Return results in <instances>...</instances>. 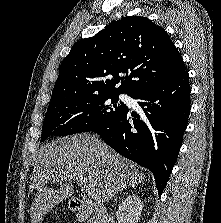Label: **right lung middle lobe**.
Returning <instances> with one entry per match:
<instances>
[{"instance_id":"right-lung-middle-lobe-1","label":"right lung middle lobe","mask_w":221,"mask_h":223,"mask_svg":"<svg viewBox=\"0 0 221 223\" xmlns=\"http://www.w3.org/2000/svg\"><path fill=\"white\" fill-rule=\"evenodd\" d=\"M115 93L74 95L51 102L42 127L41 141L51 135L88 132L109 123L126 106Z\"/></svg>"}]
</instances>
